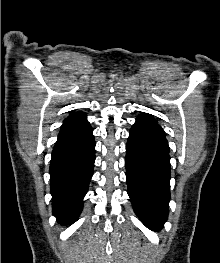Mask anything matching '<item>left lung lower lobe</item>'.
<instances>
[{"label":"left lung lower lobe","instance_id":"obj_1","mask_svg":"<svg viewBox=\"0 0 220 263\" xmlns=\"http://www.w3.org/2000/svg\"><path fill=\"white\" fill-rule=\"evenodd\" d=\"M126 178L135 213L146 227L160 230L169 211L170 156L159 124L136 119L126 145Z\"/></svg>","mask_w":220,"mask_h":263}]
</instances>
